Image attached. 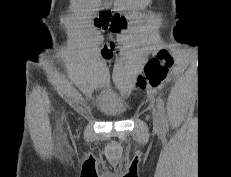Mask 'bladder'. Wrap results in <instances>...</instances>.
<instances>
[{
  "mask_svg": "<svg viewBox=\"0 0 231 177\" xmlns=\"http://www.w3.org/2000/svg\"><path fill=\"white\" fill-rule=\"evenodd\" d=\"M96 107L106 116L119 118L126 114V102L115 92L101 90L95 97Z\"/></svg>",
  "mask_w": 231,
  "mask_h": 177,
  "instance_id": "31cf9c89",
  "label": "bladder"
}]
</instances>
